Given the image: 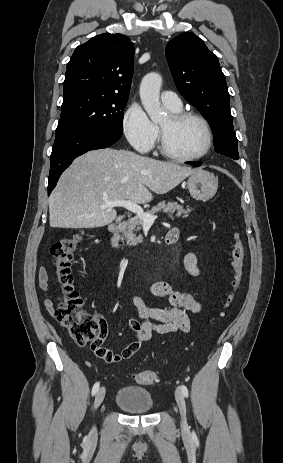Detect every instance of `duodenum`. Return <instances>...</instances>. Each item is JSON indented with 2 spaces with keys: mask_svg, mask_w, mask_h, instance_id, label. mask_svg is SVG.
Masks as SVG:
<instances>
[{
  "mask_svg": "<svg viewBox=\"0 0 283 463\" xmlns=\"http://www.w3.org/2000/svg\"><path fill=\"white\" fill-rule=\"evenodd\" d=\"M122 222H123V217L120 216L115 221L111 222L108 225V230L111 233V245L113 249H117L119 246V233H120V226ZM176 240H177V236L172 232H169L165 237V242L168 245L175 243Z\"/></svg>",
  "mask_w": 283,
  "mask_h": 463,
  "instance_id": "obj_1",
  "label": "duodenum"
}]
</instances>
